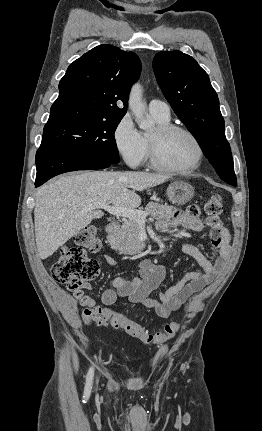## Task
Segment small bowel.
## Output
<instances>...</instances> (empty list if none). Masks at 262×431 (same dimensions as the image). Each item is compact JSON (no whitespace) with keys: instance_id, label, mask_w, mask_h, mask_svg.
<instances>
[{"instance_id":"small-bowel-1","label":"small bowel","mask_w":262,"mask_h":431,"mask_svg":"<svg viewBox=\"0 0 262 431\" xmlns=\"http://www.w3.org/2000/svg\"><path fill=\"white\" fill-rule=\"evenodd\" d=\"M171 226H183L193 232L200 231L204 226L210 228L212 244L218 253L215 263H212L195 245L191 243L183 245V251L199 263L201 270L184 274L179 282L160 293L159 299H154L151 294L162 283L165 269L151 260H144L139 264L140 278L113 279V289H107L102 294V305H97L95 299L87 295L85 290L73 292L74 299L84 308V317L95 316L98 310L102 316L112 317L116 314L111 312L109 307L113 306L118 298H126L129 303L141 304L153 309L159 317L167 318L180 310L189 297L200 292L215 278L225 265L230 252V234L222 221L218 217L201 220L196 214L175 211L170 221L159 224V229L168 231ZM104 261L109 265L114 264L110 257H105ZM89 288L90 286H87L85 289Z\"/></svg>"}]
</instances>
